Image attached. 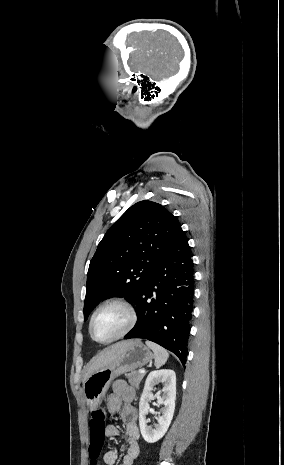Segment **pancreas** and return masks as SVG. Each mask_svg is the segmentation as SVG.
Wrapping results in <instances>:
<instances>
[{"label":"pancreas","mask_w":284,"mask_h":465,"mask_svg":"<svg viewBox=\"0 0 284 465\" xmlns=\"http://www.w3.org/2000/svg\"><path fill=\"white\" fill-rule=\"evenodd\" d=\"M144 375L145 373H138V371H131V373H128L126 377L130 385H132V387H135V389H139V383L140 381H142Z\"/></svg>","instance_id":"cf45deb5"}]
</instances>
